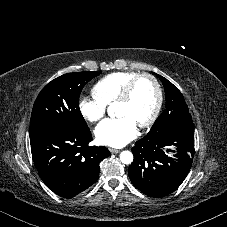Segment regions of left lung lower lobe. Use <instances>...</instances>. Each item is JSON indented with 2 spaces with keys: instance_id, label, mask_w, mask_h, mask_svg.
<instances>
[{
  "instance_id": "left-lung-lower-lobe-1",
  "label": "left lung lower lobe",
  "mask_w": 227,
  "mask_h": 227,
  "mask_svg": "<svg viewBox=\"0 0 227 227\" xmlns=\"http://www.w3.org/2000/svg\"><path fill=\"white\" fill-rule=\"evenodd\" d=\"M168 152H176L177 159L167 156ZM132 153L134 160L129 167L132 184L148 196L164 197L181 185L191 168L194 129L142 138L135 143Z\"/></svg>"
}]
</instances>
